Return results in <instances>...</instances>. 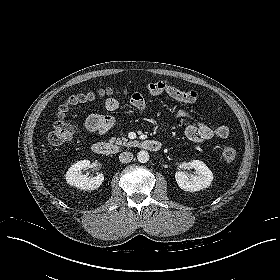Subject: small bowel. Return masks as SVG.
<instances>
[{
	"label": "small bowel",
	"mask_w": 280,
	"mask_h": 280,
	"mask_svg": "<svg viewBox=\"0 0 280 280\" xmlns=\"http://www.w3.org/2000/svg\"><path fill=\"white\" fill-rule=\"evenodd\" d=\"M147 91L152 96H159L162 94L185 104H193L199 99V93L196 90H182L165 81H154L147 85ZM130 103L132 107L138 111H143L146 108V101L144 97L135 92L131 98ZM119 108V102L114 98H107L104 103V109L108 114L92 113L86 119L87 128L99 131L104 134L108 132L116 122L114 113ZM177 118H189L195 121V124H190L185 129L186 138L190 143H200L208 141L214 137L227 138L231 134L229 126L221 124L218 126H210L207 123L195 120L194 116L189 110L179 109L174 113Z\"/></svg>",
	"instance_id": "c3829d8e"
}]
</instances>
